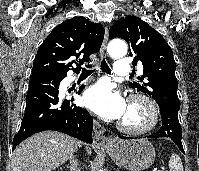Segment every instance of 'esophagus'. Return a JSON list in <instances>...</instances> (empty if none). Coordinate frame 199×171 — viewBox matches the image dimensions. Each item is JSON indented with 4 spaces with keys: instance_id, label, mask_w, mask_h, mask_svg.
Masks as SVG:
<instances>
[{
    "instance_id": "esophagus-1",
    "label": "esophagus",
    "mask_w": 199,
    "mask_h": 171,
    "mask_svg": "<svg viewBox=\"0 0 199 171\" xmlns=\"http://www.w3.org/2000/svg\"><path fill=\"white\" fill-rule=\"evenodd\" d=\"M107 41H108V27L106 26L104 40L100 49L101 58H103L106 54ZM93 129H94L93 143L96 147L105 148L111 145L112 143L111 139L104 135V128L96 120H93Z\"/></svg>"
}]
</instances>
